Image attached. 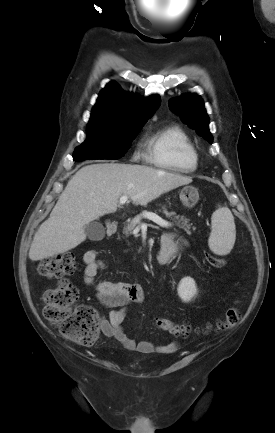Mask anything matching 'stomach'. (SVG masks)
<instances>
[{
	"label": "stomach",
	"mask_w": 275,
	"mask_h": 433,
	"mask_svg": "<svg viewBox=\"0 0 275 433\" xmlns=\"http://www.w3.org/2000/svg\"><path fill=\"white\" fill-rule=\"evenodd\" d=\"M179 197L185 207L192 208L199 200V193L195 187L185 186L181 189Z\"/></svg>",
	"instance_id": "stomach-1"
}]
</instances>
